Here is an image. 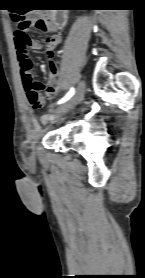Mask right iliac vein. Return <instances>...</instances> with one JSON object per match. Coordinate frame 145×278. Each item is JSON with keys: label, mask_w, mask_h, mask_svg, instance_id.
I'll use <instances>...</instances> for the list:
<instances>
[{"label": "right iliac vein", "mask_w": 145, "mask_h": 278, "mask_svg": "<svg viewBox=\"0 0 145 278\" xmlns=\"http://www.w3.org/2000/svg\"><path fill=\"white\" fill-rule=\"evenodd\" d=\"M85 93V86L83 82H80L78 84V87L76 89V92L74 93V95L67 101L65 102L63 105L57 107L54 110L55 114H60V113H65L68 112L69 110H71L72 108H74L83 98Z\"/></svg>", "instance_id": "right-iliac-vein-1"}]
</instances>
